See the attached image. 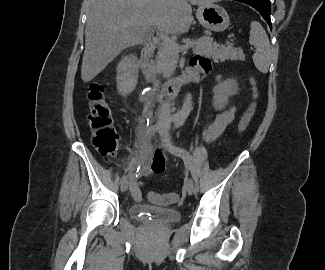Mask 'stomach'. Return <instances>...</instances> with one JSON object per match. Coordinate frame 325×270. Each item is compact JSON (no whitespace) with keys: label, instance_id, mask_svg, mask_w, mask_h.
Masks as SVG:
<instances>
[{"label":"stomach","instance_id":"1","mask_svg":"<svg viewBox=\"0 0 325 270\" xmlns=\"http://www.w3.org/2000/svg\"><path fill=\"white\" fill-rule=\"evenodd\" d=\"M196 16L199 23L211 31H224L230 24L229 16L225 9L212 3L200 5Z\"/></svg>","mask_w":325,"mask_h":270}]
</instances>
